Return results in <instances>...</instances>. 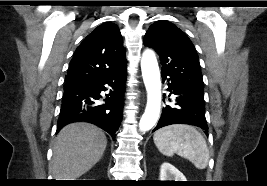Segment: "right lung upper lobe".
Masks as SVG:
<instances>
[{"label": "right lung upper lobe", "instance_id": "right-lung-upper-lobe-1", "mask_svg": "<svg viewBox=\"0 0 267 186\" xmlns=\"http://www.w3.org/2000/svg\"><path fill=\"white\" fill-rule=\"evenodd\" d=\"M126 63L120 30L115 24L107 22L98 26L77 47L65 81L104 75Z\"/></svg>", "mask_w": 267, "mask_h": 186}]
</instances>
